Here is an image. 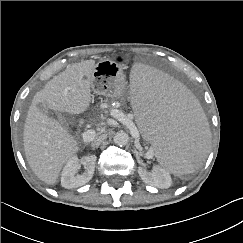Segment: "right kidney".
Here are the masks:
<instances>
[{
    "label": "right kidney",
    "mask_w": 243,
    "mask_h": 243,
    "mask_svg": "<svg viewBox=\"0 0 243 243\" xmlns=\"http://www.w3.org/2000/svg\"><path fill=\"white\" fill-rule=\"evenodd\" d=\"M85 171L81 175H76L80 169V160L74 156L65 165L61 174V185L66 189L77 188L88 183L94 174L96 156L88 155L82 158Z\"/></svg>",
    "instance_id": "1"
}]
</instances>
